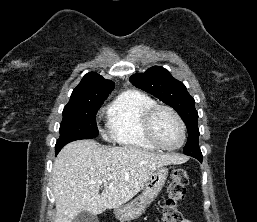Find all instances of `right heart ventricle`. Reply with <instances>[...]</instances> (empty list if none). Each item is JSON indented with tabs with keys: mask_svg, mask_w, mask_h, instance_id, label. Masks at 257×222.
I'll return each instance as SVG.
<instances>
[{
	"mask_svg": "<svg viewBox=\"0 0 257 222\" xmlns=\"http://www.w3.org/2000/svg\"><path fill=\"white\" fill-rule=\"evenodd\" d=\"M154 105L155 100L141 91L128 90L118 95L106 109L110 137L126 148L156 150L143 131L144 115Z\"/></svg>",
	"mask_w": 257,
	"mask_h": 222,
	"instance_id": "right-heart-ventricle-1",
	"label": "right heart ventricle"
}]
</instances>
